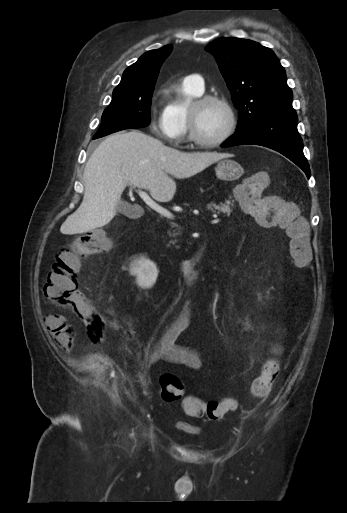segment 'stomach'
Listing matches in <instances>:
<instances>
[{
    "mask_svg": "<svg viewBox=\"0 0 347 513\" xmlns=\"http://www.w3.org/2000/svg\"><path fill=\"white\" fill-rule=\"evenodd\" d=\"M216 177L223 181H234L244 173L243 167L230 158L222 159L215 168Z\"/></svg>",
    "mask_w": 347,
    "mask_h": 513,
    "instance_id": "obj_1",
    "label": "stomach"
}]
</instances>
